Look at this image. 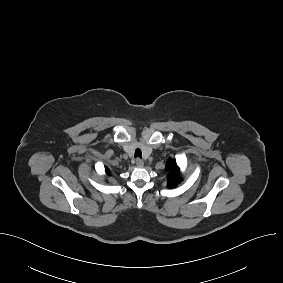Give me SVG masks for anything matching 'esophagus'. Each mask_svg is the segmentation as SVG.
Returning a JSON list of instances; mask_svg holds the SVG:
<instances>
[{
    "label": "esophagus",
    "mask_w": 283,
    "mask_h": 283,
    "mask_svg": "<svg viewBox=\"0 0 283 283\" xmlns=\"http://www.w3.org/2000/svg\"><path fill=\"white\" fill-rule=\"evenodd\" d=\"M135 163L138 167H142L144 165V162L140 158H137Z\"/></svg>",
    "instance_id": "1"
}]
</instances>
